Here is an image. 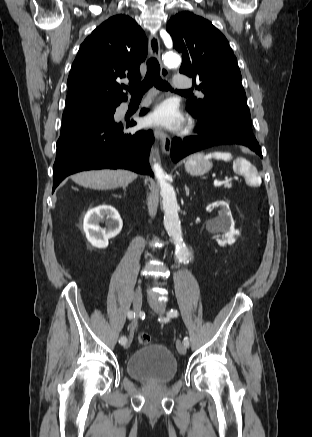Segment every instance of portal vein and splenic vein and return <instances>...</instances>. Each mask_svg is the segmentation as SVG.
I'll use <instances>...</instances> for the list:
<instances>
[{
  "mask_svg": "<svg viewBox=\"0 0 312 437\" xmlns=\"http://www.w3.org/2000/svg\"><path fill=\"white\" fill-rule=\"evenodd\" d=\"M225 183V181H220V180H215L214 181V185L215 186H220V185H222V184H224Z\"/></svg>",
  "mask_w": 312,
  "mask_h": 437,
  "instance_id": "obj_1",
  "label": "portal vein and splenic vein"
}]
</instances>
